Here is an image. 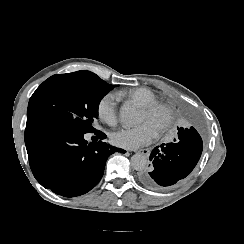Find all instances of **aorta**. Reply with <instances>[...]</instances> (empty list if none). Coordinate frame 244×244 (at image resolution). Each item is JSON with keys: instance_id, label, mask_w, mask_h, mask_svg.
Listing matches in <instances>:
<instances>
[{"instance_id": "1", "label": "aorta", "mask_w": 244, "mask_h": 244, "mask_svg": "<svg viewBox=\"0 0 244 244\" xmlns=\"http://www.w3.org/2000/svg\"><path fill=\"white\" fill-rule=\"evenodd\" d=\"M121 122L126 126H133L139 120L138 111L135 106L129 102L124 103L120 108ZM147 158L142 154H134L131 157V167L136 171H142L147 166Z\"/></svg>"}]
</instances>
